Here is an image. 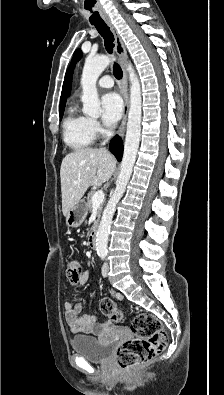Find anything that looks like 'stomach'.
<instances>
[{
  "mask_svg": "<svg viewBox=\"0 0 224 395\" xmlns=\"http://www.w3.org/2000/svg\"><path fill=\"white\" fill-rule=\"evenodd\" d=\"M87 215V209L84 201H79L66 214V225L69 228H77L84 221Z\"/></svg>",
  "mask_w": 224,
  "mask_h": 395,
  "instance_id": "stomach-1",
  "label": "stomach"
}]
</instances>
